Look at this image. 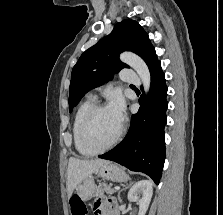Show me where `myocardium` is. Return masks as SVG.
Masks as SVG:
<instances>
[{"label": "myocardium", "mask_w": 223, "mask_h": 215, "mask_svg": "<svg viewBox=\"0 0 223 215\" xmlns=\"http://www.w3.org/2000/svg\"><path fill=\"white\" fill-rule=\"evenodd\" d=\"M107 106L104 104H94L93 107L89 110V112L87 113L86 117L84 118V121L82 123V127H81V140L82 143L84 144V146H86L94 155L97 154H101L107 150L113 149L121 140L122 135H123V126L122 124H120V128L119 131L117 133V135L115 136V138L112 140L111 143H109L107 146L102 147V148H98L96 146H94V144L92 143L91 139H90V129H91V125L92 122L96 116V114L103 110L106 109Z\"/></svg>", "instance_id": "myocardium-1"}]
</instances>
